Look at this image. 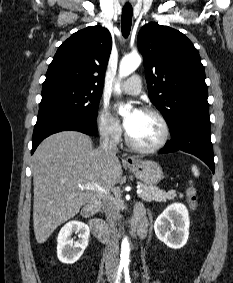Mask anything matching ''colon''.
I'll use <instances>...</instances> for the list:
<instances>
[{
  "instance_id": "colon-1",
  "label": "colon",
  "mask_w": 233,
  "mask_h": 283,
  "mask_svg": "<svg viewBox=\"0 0 233 283\" xmlns=\"http://www.w3.org/2000/svg\"><path fill=\"white\" fill-rule=\"evenodd\" d=\"M185 192L189 206L192 209H196L198 204V198L195 187L192 184H188Z\"/></svg>"
}]
</instances>
